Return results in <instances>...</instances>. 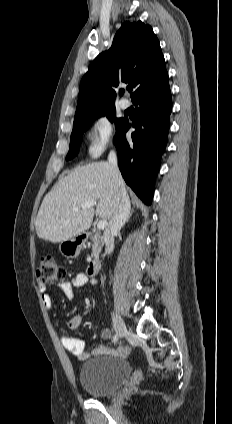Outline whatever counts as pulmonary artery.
<instances>
[{
    "instance_id": "1",
    "label": "pulmonary artery",
    "mask_w": 232,
    "mask_h": 424,
    "mask_svg": "<svg viewBox=\"0 0 232 424\" xmlns=\"http://www.w3.org/2000/svg\"><path fill=\"white\" fill-rule=\"evenodd\" d=\"M119 105H120V107H121L122 109H127V108H129V106H130V102H129V100H128V99H126V98H122V99L120 100V102H119Z\"/></svg>"
}]
</instances>
